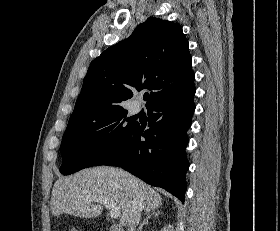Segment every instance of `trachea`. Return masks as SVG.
Instances as JSON below:
<instances>
[{"label": "trachea", "instance_id": "3493384b", "mask_svg": "<svg viewBox=\"0 0 280 231\" xmlns=\"http://www.w3.org/2000/svg\"><path fill=\"white\" fill-rule=\"evenodd\" d=\"M148 97H149V94H145V95L143 96V99H144V100H147Z\"/></svg>", "mask_w": 280, "mask_h": 231}]
</instances>
